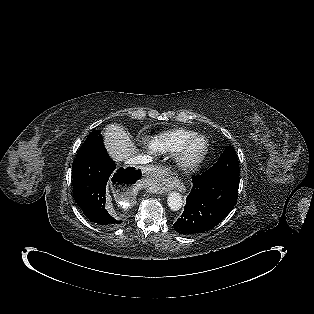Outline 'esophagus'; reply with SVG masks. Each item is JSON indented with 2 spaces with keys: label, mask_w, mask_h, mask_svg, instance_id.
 I'll return each instance as SVG.
<instances>
[{
  "label": "esophagus",
  "mask_w": 314,
  "mask_h": 314,
  "mask_svg": "<svg viewBox=\"0 0 314 314\" xmlns=\"http://www.w3.org/2000/svg\"><path fill=\"white\" fill-rule=\"evenodd\" d=\"M153 172H155L156 177H159V178L161 176L163 177L162 180L158 179L164 185V187L162 188L163 190L169 191V190H172L174 188H177L181 192L184 190L182 185H180V184L176 185L171 177L169 178L168 175L163 174L160 167H158V166L154 167ZM163 175H166V177H164Z\"/></svg>",
  "instance_id": "obj_1"
}]
</instances>
